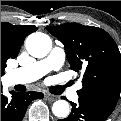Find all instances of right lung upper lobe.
Listing matches in <instances>:
<instances>
[{"label": "right lung upper lobe", "mask_w": 121, "mask_h": 121, "mask_svg": "<svg viewBox=\"0 0 121 121\" xmlns=\"http://www.w3.org/2000/svg\"><path fill=\"white\" fill-rule=\"evenodd\" d=\"M36 30L37 28L31 25L1 23V58L6 61L16 58L25 37Z\"/></svg>", "instance_id": "1"}]
</instances>
